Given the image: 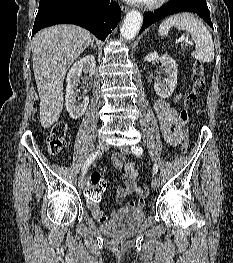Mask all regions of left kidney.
Returning a JSON list of instances; mask_svg holds the SVG:
<instances>
[{
    "instance_id": "5707ae66",
    "label": "left kidney",
    "mask_w": 233,
    "mask_h": 263,
    "mask_svg": "<svg viewBox=\"0 0 233 263\" xmlns=\"http://www.w3.org/2000/svg\"><path fill=\"white\" fill-rule=\"evenodd\" d=\"M157 60L161 62L162 70L165 75H167V78L157 79L154 82V90L160 98L165 99L170 97L175 90L177 84L178 67L175 60L167 54L159 56L158 53L154 51L149 53L144 58V61L146 62H153Z\"/></svg>"
}]
</instances>
